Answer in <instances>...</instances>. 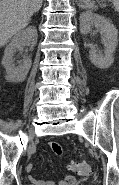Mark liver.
<instances>
[{"mask_svg":"<svg viewBox=\"0 0 119 185\" xmlns=\"http://www.w3.org/2000/svg\"><path fill=\"white\" fill-rule=\"evenodd\" d=\"M43 0H0V47L22 29L42 7Z\"/></svg>","mask_w":119,"mask_h":185,"instance_id":"1","label":"liver"}]
</instances>
